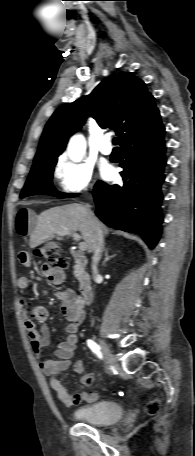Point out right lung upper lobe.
<instances>
[{
    "label": "right lung upper lobe",
    "instance_id": "obj_1",
    "mask_svg": "<svg viewBox=\"0 0 195 456\" xmlns=\"http://www.w3.org/2000/svg\"><path fill=\"white\" fill-rule=\"evenodd\" d=\"M88 115L102 128L115 129L121 145L137 134L164 127L146 84L129 72L117 73L104 79L91 95L63 104L54 112L44 129L34 164L57 159Z\"/></svg>",
    "mask_w": 195,
    "mask_h": 456
}]
</instances>
